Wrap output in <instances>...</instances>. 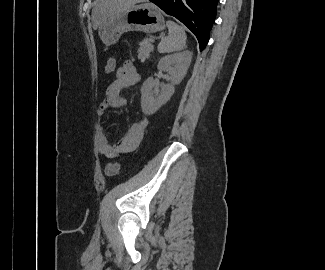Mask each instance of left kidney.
Segmentation results:
<instances>
[{"label": "left kidney", "instance_id": "5707ae66", "mask_svg": "<svg viewBox=\"0 0 325 270\" xmlns=\"http://www.w3.org/2000/svg\"><path fill=\"white\" fill-rule=\"evenodd\" d=\"M192 60V52L185 50L160 59L157 68L168 72L170 83L162 86L159 91L153 77H149L141 87V108L144 114H154L167 103L175 91V85L181 83Z\"/></svg>", "mask_w": 325, "mask_h": 270}]
</instances>
